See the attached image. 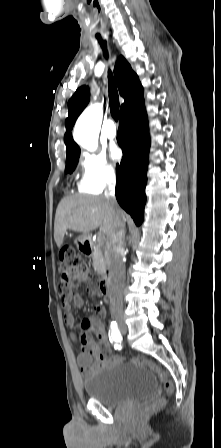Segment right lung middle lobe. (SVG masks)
<instances>
[{"label":"right lung middle lobe","instance_id":"obj_1","mask_svg":"<svg viewBox=\"0 0 221 448\" xmlns=\"http://www.w3.org/2000/svg\"><path fill=\"white\" fill-rule=\"evenodd\" d=\"M80 153L73 154L71 156H67L66 158V173H72L77 165Z\"/></svg>","mask_w":221,"mask_h":448}]
</instances>
